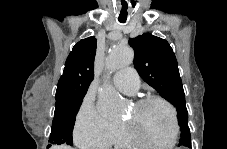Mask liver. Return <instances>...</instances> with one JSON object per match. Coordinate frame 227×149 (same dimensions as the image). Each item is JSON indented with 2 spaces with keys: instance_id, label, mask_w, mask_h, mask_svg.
Listing matches in <instances>:
<instances>
[{
  "instance_id": "obj_1",
  "label": "liver",
  "mask_w": 227,
  "mask_h": 149,
  "mask_svg": "<svg viewBox=\"0 0 227 149\" xmlns=\"http://www.w3.org/2000/svg\"><path fill=\"white\" fill-rule=\"evenodd\" d=\"M59 149H66V146H60Z\"/></svg>"
}]
</instances>
